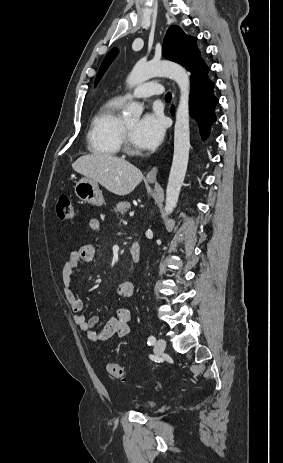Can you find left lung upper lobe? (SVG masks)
Wrapping results in <instances>:
<instances>
[{"label":"left lung upper lobe","instance_id":"left-lung-upper-lobe-1","mask_svg":"<svg viewBox=\"0 0 283 463\" xmlns=\"http://www.w3.org/2000/svg\"><path fill=\"white\" fill-rule=\"evenodd\" d=\"M195 41V38L186 35L180 27L173 25L169 27L165 35L162 55L168 60L179 63L188 70L194 63L202 60ZM116 53L117 50L114 48L105 57L96 76L95 85L107 70Z\"/></svg>","mask_w":283,"mask_h":463}]
</instances>
